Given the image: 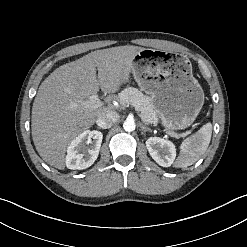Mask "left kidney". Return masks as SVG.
Wrapping results in <instances>:
<instances>
[{
    "label": "left kidney",
    "instance_id": "1",
    "mask_svg": "<svg viewBox=\"0 0 247 247\" xmlns=\"http://www.w3.org/2000/svg\"><path fill=\"white\" fill-rule=\"evenodd\" d=\"M146 147L153 160L162 167H169L176 157L175 145L159 137H150L146 141Z\"/></svg>",
    "mask_w": 247,
    "mask_h": 247
}]
</instances>
